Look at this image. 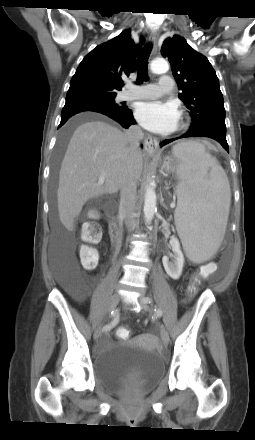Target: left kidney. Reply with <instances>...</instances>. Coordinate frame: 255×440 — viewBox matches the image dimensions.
I'll list each match as a JSON object with an SVG mask.
<instances>
[{"label":"left kidney","mask_w":255,"mask_h":440,"mask_svg":"<svg viewBox=\"0 0 255 440\" xmlns=\"http://www.w3.org/2000/svg\"><path fill=\"white\" fill-rule=\"evenodd\" d=\"M170 245L172 247L173 254L170 257L173 258L169 261V257L163 256L162 262L166 273L174 280L180 278L184 266V256L180 249V243L176 237H171Z\"/></svg>","instance_id":"left-kidney-1"}]
</instances>
